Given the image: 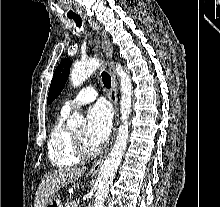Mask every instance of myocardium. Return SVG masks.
I'll list each match as a JSON object with an SVG mask.
<instances>
[{
    "mask_svg": "<svg viewBox=\"0 0 220 207\" xmlns=\"http://www.w3.org/2000/svg\"><path fill=\"white\" fill-rule=\"evenodd\" d=\"M72 149L76 157L80 160H88L98 154V149H88L85 144L74 134L71 133Z\"/></svg>",
    "mask_w": 220,
    "mask_h": 207,
    "instance_id": "obj_1",
    "label": "myocardium"
}]
</instances>
